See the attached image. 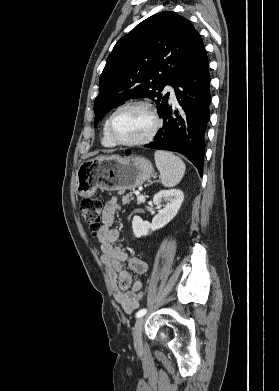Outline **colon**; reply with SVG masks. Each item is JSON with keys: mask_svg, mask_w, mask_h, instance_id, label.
<instances>
[{"mask_svg": "<svg viewBox=\"0 0 279 391\" xmlns=\"http://www.w3.org/2000/svg\"><path fill=\"white\" fill-rule=\"evenodd\" d=\"M103 205L98 199H85L81 203V214L83 220L93 235H97L102 223ZM144 298L143 291L137 295V300L140 303Z\"/></svg>", "mask_w": 279, "mask_h": 391, "instance_id": "5ec220e1", "label": "colon"}]
</instances>
